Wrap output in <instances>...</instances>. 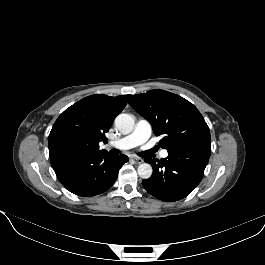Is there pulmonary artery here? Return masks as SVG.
I'll return each mask as SVG.
<instances>
[{"label": "pulmonary artery", "instance_id": "pulmonary-artery-1", "mask_svg": "<svg viewBox=\"0 0 265 265\" xmlns=\"http://www.w3.org/2000/svg\"><path fill=\"white\" fill-rule=\"evenodd\" d=\"M150 135H151L150 123L146 120H139L138 123L136 124L135 130L131 134L111 142L110 145L120 150L131 149L133 147H136L138 145L147 142ZM161 156L163 158L167 157L168 156L167 151H163L161 153Z\"/></svg>", "mask_w": 265, "mask_h": 265}]
</instances>
